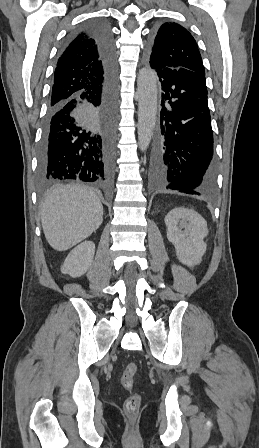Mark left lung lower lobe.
<instances>
[{
  "instance_id": "obj_1",
  "label": "left lung lower lobe",
  "mask_w": 259,
  "mask_h": 448,
  "mask_svg": "<svg viewBox=\"0 0 259 448\" xmlns=\"http://www.w3.org/2000/svg\"><path fill=\"white\" fill-rule=\"evenodd\" d=\"M155 70L163 93L161 126L151 161L152 186L191 195L211 194L217 164L205 75L185 68Z\"/></svg>"
}]
</instances>
